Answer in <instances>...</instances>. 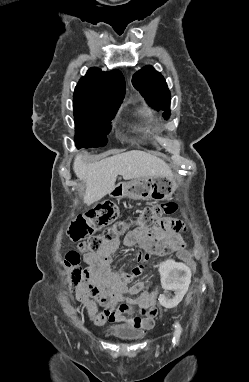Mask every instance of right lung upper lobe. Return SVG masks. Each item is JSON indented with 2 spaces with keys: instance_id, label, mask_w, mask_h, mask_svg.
I'll return each mask as SVG.
<instances>
[{
  "instance_id": "right-lung-upper-lobe-1",
  "label": "right lung upper lobe",
  "mask_w": 249,
  "mask_h": 382,
  "mask_svg": "<svg viewBox=\"0 0 249 382\" xmlns=\"http://www.w3.org/2000/svg\"><path fill=\"white\" fill-rule=\"evenodd\" d=\"M125 95V80L119 70L102 72L90 68L74 92V109L89 105H102L118 109Z\"/></svg>"
}]
</instances>
